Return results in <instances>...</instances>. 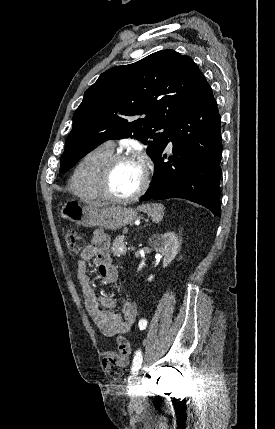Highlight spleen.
Here are the masks:
<instances>
[{"label": "spleen", "instance_id": "obj_1", "mask_svg": "<svg viewBox=\"0 0 275 429\" xmlns=\"http://www.w3.org/2000/svg\"><path fill=\"white\" fill-rule=\"evenodd\" d=\"M137 209L146 213L155 223H159L164 216V206L162 204L151 203L138 206Z\"/></svg>", "mask_w": 275, "mask_h": 429}]
</instances>
